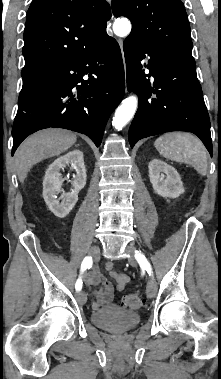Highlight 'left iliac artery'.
<instances>
[{"label": "left iliac artery", "mask_w": 221, "mask_h": 379, "mask_svg": "<svg viewBox=\"0 0 221 379\" xmlns=\"http://www.w3.org/2000/svg\"><path fill=\"white\" fill-rule=\"evenodd\" d=\"M135 258L136 260L138 261V263L146 268L147 272L149 273V275L153 274V271H152V268H151V265L150 263L148 262L147 258L145 257L144 254H142L141 252L139 251H135Z\"/></svg>", "instance_id": "left-iliac-artery-1"}]
</instances>
